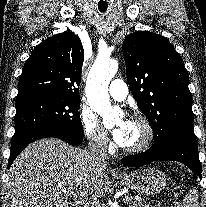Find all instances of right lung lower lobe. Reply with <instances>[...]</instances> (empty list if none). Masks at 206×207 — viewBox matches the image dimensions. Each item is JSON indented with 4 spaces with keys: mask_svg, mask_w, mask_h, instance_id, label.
I'll use <instances>...</instances> for the list:
<instances>
[{
    "mask_svg": "<svg viewBox=\"0 0 206 207\" xmlns=\"http://www.w3.org/2000/svg\"><path fill=\"white\" fill-rule=\"evenodd\" d=\"M47 137H55L59 138L70 145H76L79 144L82 140L83 137H78L74 136L71 134H68L66 132L60 131V130H53V129H48V130H41L34 132L23 139H21L18 142L12 143L11 144V149H10V157L8 159V168L14 161V159L18 156V154L30 143L42 139V138H47Z\"/></svg>",
    "mask_w": 206,
    "mask_h": 207,
    "instance_id": "right-lung-lower-lobe-1",
    "label": "right lung lower lobe"
}]
</instances>
